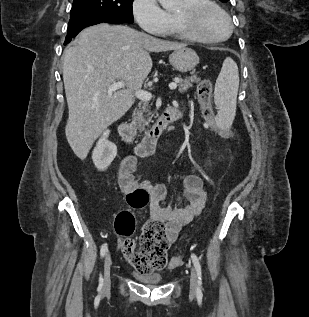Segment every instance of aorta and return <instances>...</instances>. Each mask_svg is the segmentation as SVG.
Masks as SVG:
<instances>
[{"label":"aorta","mask_w":309,"mask_h":317,"mask_svg":"<svg viewBox=\"0 0 309 317\" xmlns=\"http://www.w3.org/2000/svg\"><path fill=\"white\" fill-rule=\"evenodd\" d=\"M161 6L166 10H171L176 4V0H158Z\"/></svg>","instance_id":"obj_1"}]
</instances>
